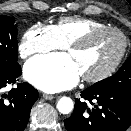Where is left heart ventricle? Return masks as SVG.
Here are the masks:
<instances>
[{
	"mask_svg": "<svg viewBox=\"0 0 131 131\" xmlns=\"http://www.w3.org/2000/svg\"><path fill=\"white\" fill-rule=\"evenodd\" d=\"M122 45L119 35L106 32L95 36L83 47L68 50V54L82 75H94L105 70L115 60Z\"/></svg>",
	"mask_w": 131,
	"mask_h": 131,
	"instance_id": "left-heart-ventricle-1",
	"label": "left heart ventricle"
}]
</instances>
